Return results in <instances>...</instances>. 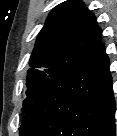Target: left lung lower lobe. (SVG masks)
Here are the masks:
<instances>
[{
    "mask_svg": "<svg viewBox=\"0 0 117 136\" xmlns=\"http://www.w3.org/2000/svg\"><path fill=\"white\" fill-rule=\"evenodd\" d=\"M115 106L109 59L101 44L33 104L20 136H115Z\"/></svg>",
    "mask_w": 117,
    "mask_h": 136,
    "instance_id": "obj_1",
    "label": "left lung lower lobe"
}]
</instances>
